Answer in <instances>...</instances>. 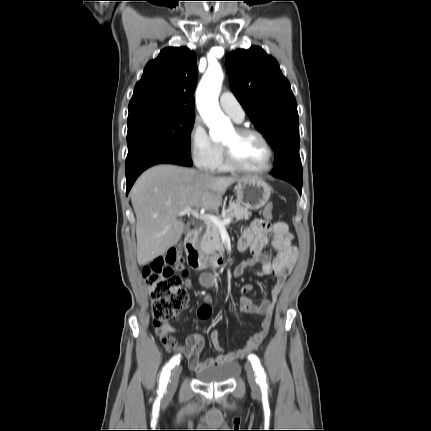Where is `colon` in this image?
Returning a JSON list of instances; mask_svg holds the SVG:
<instances>
[{"label":"colon","mask_w":431,"mask_h":431,"mask_svg":"<svg viewBox=\"0 0 431 431\" xmlns=\"http://www.w3.org/2000/svg\"><path fill=\"white\" fill-rule=\"evenodd\" d=\"M272 210L273 204L268 203L264 209V217L271 218ZM182 263V254L172 248L142 268L143 277L150 287L151 309L157 328L167 325L175 312L188 301L183 279L174 269L175 266H182ZM196 317L198 322H211L210 301H201V306L196 310Z\"/></svg>","instance_id":"5ec220e1"}]
</instances>
